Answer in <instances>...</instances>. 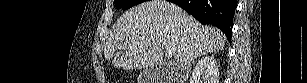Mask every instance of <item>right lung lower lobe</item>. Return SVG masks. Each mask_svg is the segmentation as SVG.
Masks as SVG:
<instances>
[{
	"instance_id": "1",
	"label": "right lung lower lobe",
	"mask_w": 307,
	"mask_h": 83,
	"mask_svg": "<svg viewBox=\"0 0 307 83\" xmlns=\"http://www.w3.org/2000/svg\"><path fill=\"white\" fill-rule=\"evenodd\" d=\"M202 24H212L231 41L237 0H172Z\"/></svg>"
}]
</instances>
